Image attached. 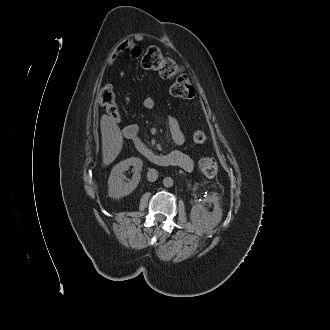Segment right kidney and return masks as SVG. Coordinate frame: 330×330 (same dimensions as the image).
Here are the masks:
<instances>
[{
	"label": "right kidney",
	"mask_w": 330,
	"mask_h": 330,
	"mask_svg": "<svg viewBox=\"0 0 330 330\" xmlns=\"http://www.w3.org/2000/svg\"><path fill=\"white\" fill-rule=\"evenodd\" d=\"M133 166V177L129 182L124 181L123 172ZM143 161L137 157H131L116 164L111 170L108 179V193L114 199L122 198L132 193L141 179Z\"/></svg>",
	"instance_id": "1"
}]
</instances>
